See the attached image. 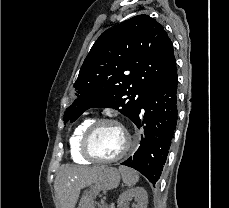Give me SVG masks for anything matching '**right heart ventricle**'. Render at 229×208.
Wrapping results in <instances>:
<instances>
[{"label": "right heart ventricle", "mask_w": 229, "mask_h": 208, "mask_svg": "<svg viewBox=\"0 0 229 208\" xmlns=\"http://www.w3.org/2000/svg\"><path fill=\"white\" fill-rule=\"evenodd\" d=\"M93 122V119H85L79 125H77L69 137V154L71 160L80 165L91 164L93 160L91 158H83L79 152L80 144L82 143L83 135L87 127Z\"/></svg>", "instance_id": "obj_1"}]
</instances>
